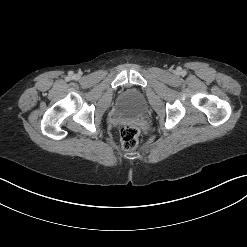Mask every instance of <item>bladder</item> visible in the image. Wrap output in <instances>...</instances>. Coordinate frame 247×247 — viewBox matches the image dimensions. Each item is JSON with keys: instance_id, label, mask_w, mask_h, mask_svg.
Masks as SVG:
<instances>
[{"instance_id": "bladder-1", "label": "bladder", "mask_w": 247, "mask_h": 247, "mask_svg": "<svg viewBox=\"0 0 247 247\" xmlns=\"http://www.w3.org/2000/svg\"><path fill=\"white\" fill-rule=\"evenodd\" d=\"M119 111L130 117H137L145 111V98L142 92L137 89H128L122 94L119 104Z\"/></svg>"}]
</instances>
